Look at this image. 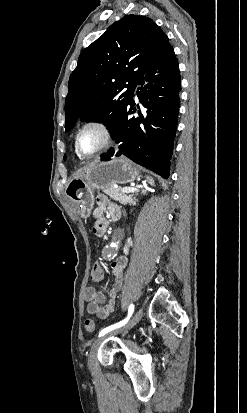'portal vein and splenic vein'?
I'll use <instances>...</instances> for the list:
<instances>
[{"instance_id": "obj_1", "label": "portal vein and splenic vein", "mask_w": 247, "mask_h": 413, "mask_svg": "<svg viewBox=\"0 0 247 413\" xmlns=\"http://www.w3.org/2000/svg\"><path fill=\"white\" fill-rule=\"evenodd\" d=\"M143 184H145V180H143ZM133 190H139V188H126V186H124V188H121V192H133Z\"/></svg>"}]
</instances>
